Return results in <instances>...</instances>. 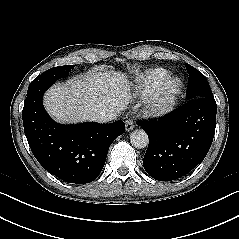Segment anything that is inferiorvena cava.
Returning a JSON list of instances; mask_svg holds the SVG:
<instances>
[{
  "instance_id": "obj_1",
  "label": "inferior vena cava",
  "mask_w": 239,
  "mask_h": 239,
  "mask_svg": "<svg viewBox=\"0 0 239 239\" xmlns=\"http://www.w3.org/2000/svg\"><path fill=\"white\" fill-rule=\"evenodd\" d=\"M116 118V114L114 113H106L104 111H100L94 116V120L100 123H107Z\"/></svg>"
}]
</instances>
